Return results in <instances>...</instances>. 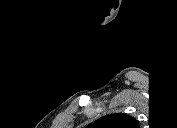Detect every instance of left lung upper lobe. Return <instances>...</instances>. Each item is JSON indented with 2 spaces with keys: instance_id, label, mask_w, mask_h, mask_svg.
I'll use <instances>...</instances> for the list:
<instances>
[{
  "instance_id": "1",
  "label": "left lung upper lobe",
  "mask_w": 177,
  "mask_h": 128,
  "mask_svg": "<svg viewBox=\"0 0 177 128\" xmlns=\"http://www.w3.org/2000/svg\"><path fill=\"white\" fill-rule=\"evenodd\" d=\"M97 126L101 128H138L137 121L126 114L115 113L102 118L98 121Z\"/></svg>"
}]
</instances>
